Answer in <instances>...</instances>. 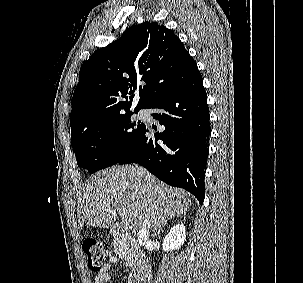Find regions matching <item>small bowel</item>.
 <instances>
[{
    "label": "small bowel",
    "instance_id": "small-bowel-1",
    "mask_svg": "<svg viewBox=\"0 0 303 283\" xmlns=\"http://www.w3.org/2000/svg\"><path fill=\"white\" fill-rule=\"evenodd\" d=\"M117 261H118L117 257H110L108 262L95 276L94 283H107L110 280L109 271L111 267L117 263Z\"/></svg>",
    "mask_w": 303,
    "mask_h": 283
}]
</instances>
